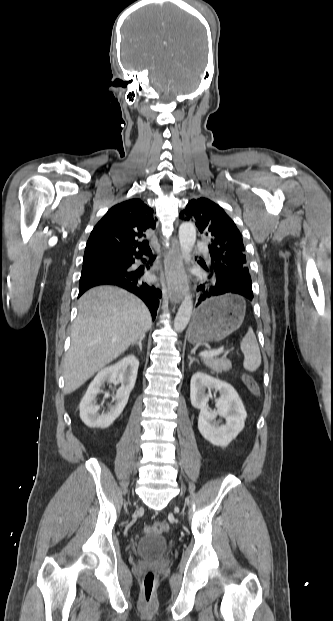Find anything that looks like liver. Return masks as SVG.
<instances>
[{
	"label": "liver",
	"instance_id": "6515ba94",
	"mask_svg": "<svg viewBox=\"0 0 333 621\" xmlns=\"http://www.w3.org/2000/svg\"><path fill=\"white\" fill-rule=\"evenodd\" d=\"M152 325L145 304L114 286H98L79 299L71 346L63 359L65 393L82 386L121 355Z\"/></svg>",
	"mask_w": 333,
	"mask_h": 621
}]
</instances>
